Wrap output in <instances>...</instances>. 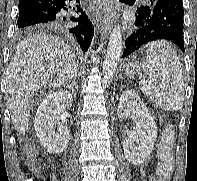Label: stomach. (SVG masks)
I'll list each match as a JSON object with an SVG mask.
<instances>
[{
  "label": "stomach",
  "mask_w": 197,
  "mask_h": 181,
  "mask_svg": "<svg viewBox=\"0 0 197 181\" xmlns=\"http://www.w3.org/2000/svg\"><path fill=\"white\" fill-rule=\"evenodd\" d=\"M123 72L127 77H133L142 73V65L136 61H129L123 66Z\"/></svg>",
  "instance_id": "stomach-1"
}]
</instances>
